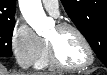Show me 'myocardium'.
<instances>
[{
	"label": "myocardium",
	"instance_id": "1",
	"mask_svg": "<svg viewBox=\"0 0 107 75\" xmlns=\"http://www.w3.org/2000/svg\"><path fill=\"white\" fill-rule=\"evenodd\" d=\"M56 28L58 31L71 30L75 32L77 36L80 38V40L82 41L87 51L88 58L86 62L78 66L66 65L60 60L54 43L47 39L46 43L48 48V58H49L50 65L56 69L64 70V71H82L90 67L93 64L95 59L94 50L88 38L81 31V29H79L76 25L72 23H67V22L58 23L56 25Z\"/></svg>",
	"mask_w": 107,
	"mask_h": 75
}]
</instances>
